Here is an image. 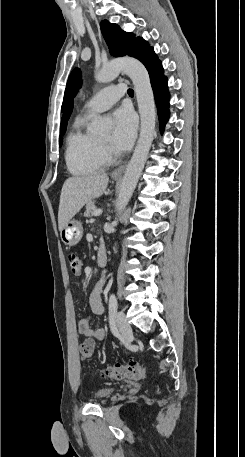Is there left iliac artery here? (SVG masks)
<instances>
[{"label": "left iliac artery", "instance_id": "left-iliac-artery-1", "mask_svg": "<svg viewBox=\"0 0 245 457\" xmlns=\"http://www.w3.org/2000/svg\"><path fill=\"white\" fill-rule=\"evenodd\" d=\"M108 306H109V324H110V328H111V331L113 333H115V325H114V318H115V314H116V311H117V307H118V304H117V299H116V296L114 294H111L110 297H109V301H108Z\"/></svg>", "mask_w": 245, "mask_h": 457}]
</instances>
